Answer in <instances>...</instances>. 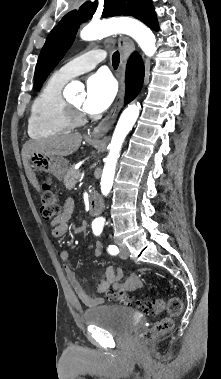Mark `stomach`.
<instances>
[{
    "label": "stomach",
    "mask_w": 221,
    "mask_h": 379,
    "mask_svg": "<svg viewBox=\"0 0 221 379\" xmlns=\"http://www.w3.org/2000/svg\"><path fill=\"white\" fill-rule=\"evenodd\" d=\"M29 161L34 169L52 174L59 181L65 177L69 169V162L63 157L46 156L33 152L29 155Z\"/></svg>",
    "instance_id": "stomach-1"
}]
</instances>
